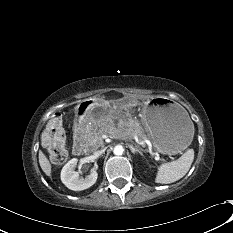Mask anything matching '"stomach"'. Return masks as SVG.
<instances>
[{
	"instance_id": "obj_1",
	"label": "stomach",
	"mask_w": 233,
	"mask_h": 233,
	"mask_svg": "<svg viewBox=\"0 0 233 233\" xmlns=\"http://www.w3.org/2000/svg\"><path fill=\"white\" fill-rule=\"evenodd\" d=\"M85 103L78 105L77 114L93 123L107 119L119 121L133 110V103L128 98L110 99L106 103L95 100L91 110L86 109ZM143 114L147 135L161 154H177L191 143L194 125L179 105L165 98H156L144 107Z\"/></svg>"
}]
</instances>
